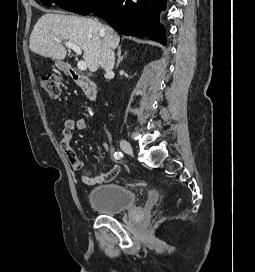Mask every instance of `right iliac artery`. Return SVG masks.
Segmentation results:
<instances>
[{"mask_svg": "<svg viewBox=\"0 0 255 272\" xmlns=\"http://www.w3.org/2000/svg\"><path fill=\"white\" fill-rule=\"evenodd\" d=\"M114 157H115V159L119 160L123 157V154H122V152H115Z\"/></svg>", "mask_w": 255, "mask_h": 272, "instance_id": "obj_1", "label": "right iliac artery"}]
</instances>
